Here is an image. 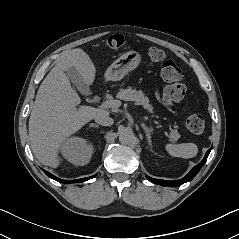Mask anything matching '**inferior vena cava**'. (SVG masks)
<instances>
[{
  "mask_svg": "<svg viewBox=\"0 0 239 239\" xmlns=\"http://www.w3.org/2000/svg\"><path fill=\"white\" fill-rule=\"evenodd\" d=\"M94 119L96 123L103 126H111L114 123L113 119L109 117V113L105 110L97 114Z\"/></svg>",
  "mask_w": 239,
  "mask_h": 239,
  "instance_id": "1",
  "label": "inferior vena cava"
}]
</instances>
